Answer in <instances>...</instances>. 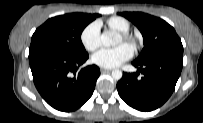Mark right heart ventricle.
Here are the masks:
<instances>
[{"instance_id":"right-heart-ventricle-1","label":"right heart ventricle","mask_w":203,"mask_h":123,"mask_svg":"<svg viewBox=\"0 0 203 123\" xmlns=\"http://www.w3.org/2000/svg\"><path fill=\"white\" fill-rule=\"evenodd\" d=\"M107 24L110 28L118 32H128L130 29V22L119 16L111 17L107 20Z\"/></svg>"}]
</instances>
